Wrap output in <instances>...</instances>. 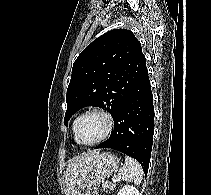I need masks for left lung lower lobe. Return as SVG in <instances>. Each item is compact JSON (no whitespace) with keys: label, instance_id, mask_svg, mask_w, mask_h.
Segmentation results:
<instances>
[{"label":"left lung lower lobe","instance_id":"left-lung-lower-lobe-1","mask_svg":"<svg viewBox=\"0 0 211 195\" xmlns=\"http://www.w3.org/2000/svg\"><path fill=\"white\" fill-rule=\"evenodd\" d=\"M114 130L96 147L111 148L135 158L147 174L154 133V106L148 72L118 108Z\"/></svg>","mask_w":211,"mask_h":195}]
</instances>
